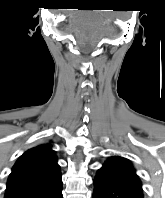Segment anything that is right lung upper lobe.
I'll list each match as a JSON object with an SVG mask.
<instances>
[{
    "instance_id": "1",
    "label": "right lung upper lobe",
    "mask_w": 165,
    "mask_h": 198,
    "mask_svg": "<svg viewBox=\"0 0 165 198\" xmlns=\"http://www.w3.org/2000/svg\"><path fill=\"white\" fill-rule=\"evenodd\" d=\"M60 167L51 144L23 153L9 176L5 198H49L61 189Z\"/></svg>"
}]
</instances>
